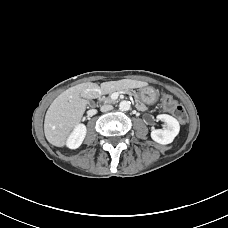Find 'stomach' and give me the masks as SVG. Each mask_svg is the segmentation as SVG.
Instances as JSON below:
<instances>
[{
	"mask_svg": "<svg viewBox=\"0 0 228 228\" xmlns=\"http://www.w3.org/2000/svg\"><path fill=\"white\" fill-rule=\"evenodd\" d=\"M158 97V92L150 86L141 87L139 89V98L145 104L150 105L155 103Z\"/></svg>",
	"mask_w": 228,
	"mask_h": 228,
	"instance_id": "1",
	"label": "stomach"
}]
</instances>
